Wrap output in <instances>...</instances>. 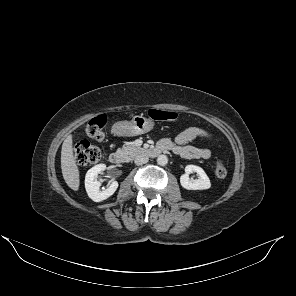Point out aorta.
I'll return each instance as SVG.
<instances>
[{
  "label": "aorta",
  "instance_id": "obj_1",
  "mask_svg": "<svg viewBox=\"0 0 296 296\" xmlns=\"http://www.w3.org/2000/svg\"><path fill=\"white\" fill-rule=\"evenodd\" d=\"M168 162V158L166 155H159L157 158V163L161 166H165Z\"/></svg>",
  "mask_w": 296,
  "mask_h": 296
}]
</instances>
